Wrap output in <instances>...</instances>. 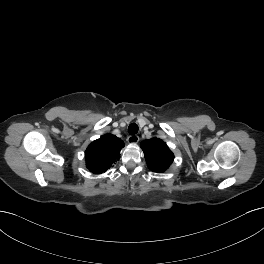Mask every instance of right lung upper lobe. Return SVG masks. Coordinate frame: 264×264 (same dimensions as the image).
Listing matches in <instances>:
<instances>
[{
  "mask_svg": "<svg viewBox=\"0 0 264 264\" xmlns=\"http://www.w3.org/2000/svg\"><path fill=\"white\" fill-rule=\"evenodd\" d=\"M123 147L124 142L112 134H106L93 141L85 151L87 168L95 174L105 172L120 159V150Z\"/></svg>",
  "mask_w": 264,
  "mask_h": 264,
  "instance_id": "obj_1",
  "label": "right lung upper lobe"
}]
</instances>
